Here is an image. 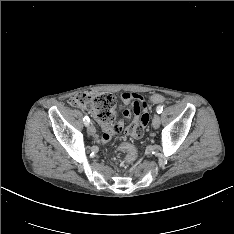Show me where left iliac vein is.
Segmentation results:
<instances>
[{"label":"left iliac vein","instance_id":"1","mask_svg":"<svg viewBox=\"0 0 234 234\" xmlns=\"http://www.w3.org/2000/svg\"><path fill=\"white\" fill-rule=\"evenodd\" d=\"M160 122H161V119H160L159 114H155L154 117H153V120H152V126H153V128L154 129L159 128Z\"/></svg>","mask_w":234,"mask_h":234}]
</instances>
